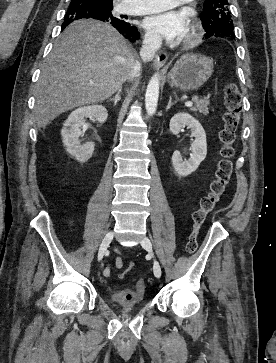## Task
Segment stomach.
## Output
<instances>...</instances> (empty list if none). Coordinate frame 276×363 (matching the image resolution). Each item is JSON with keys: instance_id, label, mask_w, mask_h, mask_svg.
Segmentation results:
<instances>
[{"instance_id": "obj_1", "label": "stomach", "mask_w": 276, "mask_h": 363, "mask_svg": "<svg viewBox=\"0 0 276 363\" xmlns=\"http://www.w3.org/2000/svg\"><path fill=\"white\" fill-rule=\"evenodd\" d=\"M213 68V61L208 57L184 54L168 73V82L182 91L197 90L211 77Z\"/></svg>"}]
</instances>
